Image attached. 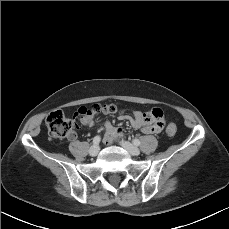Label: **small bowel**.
Returning <instances> with one entry per match:
<instances>
[{
    "mask_svg": "<svg viewBox=\"0 0 229 229\" xmlns=\"http://www.w3.org/2000/svg\"><path fill=\"white\" fill-rule=\"evenodd\" d=\"M77 115L78 114H75L74 117H77ZM144 115H145L144 112L137 110L133 112L132 116L120 114L118 116V119L121 121L129 122L132 125V127L136 129L141 128L144 133H152L153 132L152 129H150L149 127H145L146 123L144 121ZM79 120L83 125H86V126L91 127L95 125L94 116L91 114L81 116L79 117ZM103 129H104L105 141L108 143H111L113 141L123 138L122 128L119 126L113 125L109 121L104 122ZM70 137L74 138L75 134L72 133Z\"/></svg>",
    "mask_w": 229,
    "mask_h": 229,
    "instance_id": "small-bowel-1",
    "label": "small bowel"
}]
</instances>
